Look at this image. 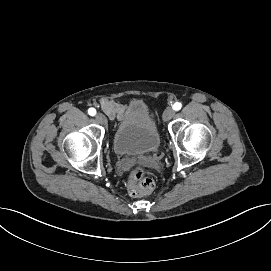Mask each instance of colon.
<instances>
[{
    "instance_id": "colon-1",
    "label": "colon",
    "mask_w": 271,
    "mask_h": 271,
    "mask_svg": "<svg viewBox=\"0 0 271 271\" xmlns=\"http://www.w3.org/2000/svg\"><path fill=\"white\" fill-rule=\"evenodd\" d=\"M127 187L131 195L143 196L154 190L155 182L147 176L146 170L142 166H136L129 175Z\"/></svg>"
}]
</instances>
